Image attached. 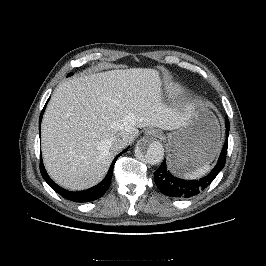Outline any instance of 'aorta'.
<instances>
[{
    "label": "aorta",
    "instance_id": "762f6f07",
    "mask_svg": "<svg viewBox=\"0 0 266 266\" xmlns=\"http://www.w3.org/2000/svg\"><path fill=\"white\" fill-rule=\"evenodd\" d=\"M136 151L147 163L152 165L160 163L164 157V148L159 141H152L147 144L140 142Z\"/></svg>",
    "mask_w": 266,
    "mask_h": 266
}]
</instances>
